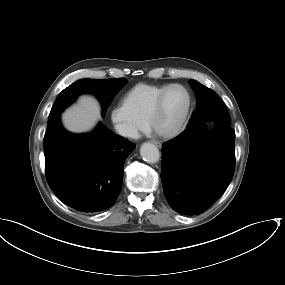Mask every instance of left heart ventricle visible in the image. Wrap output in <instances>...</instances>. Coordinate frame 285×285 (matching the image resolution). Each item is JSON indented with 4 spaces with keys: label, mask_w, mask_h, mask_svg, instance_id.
<instances>
[{
    "label": "left heart ventricle",
    "mask_w": 285,
    "mask_h": 285,
    "mask_svg": "<svg viewBox=\"0 0 285 285\" xmlns=\"http://www.w3.org/2000/svg\"><path fill=\"white\" fill-rule=\"evenodd\" d=\"M187 104V95L180 87H174L166 95L163 109L155 121L162 130L173 128L182 116Z\"/></svg>",
    "instance_id": "left-heart-ventricle-1"
}]
</instances>
